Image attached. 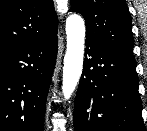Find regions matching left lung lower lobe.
<instances>
[{
  "label": "left lung lower lobe",
  "instance_id": "0a47b994",
  "mask_svg": "<svg viewBox=\"0 0 147 131\" xmlns=\"http://www.w3.org/2000/svg\"><path fill=\"white\" fill-rule=\"evenodd\" d=\"M74 131H146L135 59L86 40Z\"/></svg>",
  "mask_w": 147,
  "mask_h": 131
}]
</instances>
